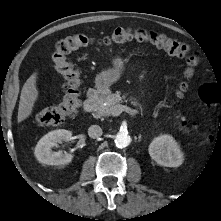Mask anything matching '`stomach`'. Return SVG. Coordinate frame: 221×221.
Masks as SVG:
<instances>
[{"label":"stomach","mask_w":221,"mask_h":221,"mask_svg":"<svg viewBox=\"0 0 221 221\" xmlns=\"http://www.w3.org/2000/svg\"><path fill=\"white\" fill-rule=\"evenodd\" d=\"M124 62L120 57L113 59V67L102 71L95 79V85L99 90H107L117 82L122 74Z\"/></svg>","instance_id":"obj_1"}]
</instances>
